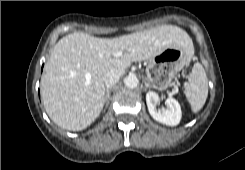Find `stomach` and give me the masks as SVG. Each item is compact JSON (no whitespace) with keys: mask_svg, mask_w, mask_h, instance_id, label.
Returning <instances> with one entry per match:
<instances>
[{"mask_svg":"<svg viewBox=\"0 0 245 170\" xmlns=\"http://www.w3.org/2000/svg\"><path fill=\"white\" fill-rule=\"evenodd\" d=\"M191 56L184 48H168L147 62V80L151 87L165 90L170 87Z\"/></svg>","mask_w":245,"mask_h":170,"instance_id":"obj_1","label":"stomach"}]
</instances>
